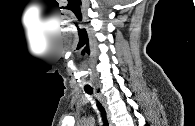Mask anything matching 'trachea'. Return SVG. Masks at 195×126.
Returning <instances> with one entry per match:
<instances>
[{
  "instance_id": "trachea-1",
  "label": "trachea",
  "mask_w": 195,
  "mask_h": 126,
  "mask_svg": "<svg viewBox=\"0 0 195 126\" xmlns=\"http://www.w3.org/2000/svg\"><path fill=\"white\" fill-rule=\"evenodd\" d=\"M85 91H86V93H88V94H91V93H92V89H91V88H85ZM97 107H98V109H99L100 112H101V115H102V119H103L104 125H105V126H108V123H107V120H106V113H105L104 108L100 105V103H97Z\"/></svg>"
}]
</instances>
